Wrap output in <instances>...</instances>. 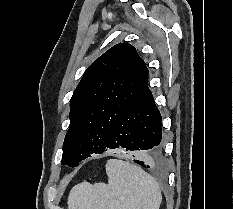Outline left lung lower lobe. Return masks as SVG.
<instances>
[{
	"label": "left lung lower lobe",
	"mask_w": 233,
	"mask_h": 209,
	"mask_svg": "<svg viewBox=\"0 0 233 209\" xmlns=\"http://www.w3.org/2000/svg\"><path fill=\"white\" fill-rule=\"evenodd\" d=\"M148 75L113 126L105 148V151L121 147L131 151L145 150V158L134 162L147 168L159 164L162 159L161 115L148 88Z\"/></svg>",
	"instance_id": "0a47b994"
}]
</instances>
